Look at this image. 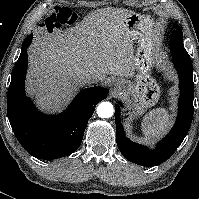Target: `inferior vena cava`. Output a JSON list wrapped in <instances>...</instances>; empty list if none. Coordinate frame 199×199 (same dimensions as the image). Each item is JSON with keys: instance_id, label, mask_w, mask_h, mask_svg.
Listing matches in <instances>:
<instances>
[{"instance_id": "1", "label": "inferior vena cava", "mask_w": 199, "mask_h": 199, "mask_svg": "<svg viewBox=\"0 0 199 199\" xmlns=\"http://www.w3.org/2000/svg\"><path fill=\"white\" fill-rule=\"evenodd\" d=\"M80 81L83 84H91V83H96L97 82V78L93 75L90 74H85L84 76L81 77Z\"/></svg>"}]
</instances>
